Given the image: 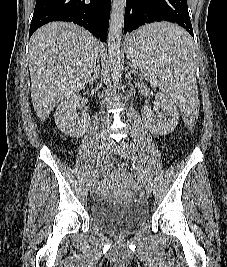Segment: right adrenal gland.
<instances>
[{"instance_id":"2a0ac1e0","label":"right adrenal gland","mask_w":227,"mask_h":267,"mask_svg":"<svg viewBox=\"0 0 227 267\" xmlns=\"http://www.w3.org/2000/svg\"><path fill=\"white\" fill-rule=\"evenodd\" d=\"M98 73H99V65L94 67L93 75L88 81L90 84H93L94 81L97 79Z\"/></svg>"}]
</instances>
